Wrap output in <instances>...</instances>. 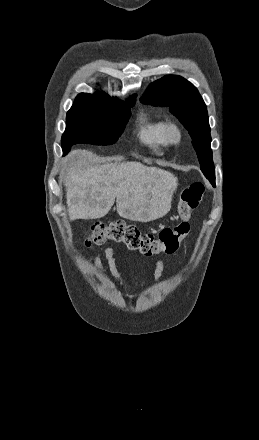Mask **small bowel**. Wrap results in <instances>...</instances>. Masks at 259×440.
<instances>
[{"label": "small bowel", "instance_id": "1", "mask_svg": "<svg viewBox=\"0 0 259 440\" xmlns=\"http://www.w3.org/2000/svg\"><path fill=\"white\" fill-rule=\"evenodd\" d=\"M104 257H105V260L107 262V265H108V268H109V271L111 273L112 278L118 284L122 285L123 281H122V278H121V276H120V274H119V272H118V270L116 268L115 259H114V250H113L112 247L109 246V247H107L105 249ZM94 265L98 269L101 268V259H100V257L96 256L94 258ZM164 269H165L164 261H162V260L157 261L156 267H155V270H154V282H153V284H156L160 280V278H161V276L163 274Z\"/></svg>", "mask_w": 259, "mask_h": 440}]
</instances>
